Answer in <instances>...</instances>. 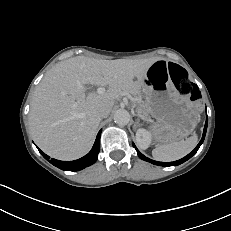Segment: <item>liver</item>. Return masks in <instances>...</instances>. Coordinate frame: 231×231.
<instances>
[{
    "label": "liver",
    "mask_w": 231,
    "mask_h": 231,
    "mask_svg": "<svg viewBox=\"0 0 231 231\" xmlns=\"http://www.w3.org/2000/svg\"><path fill=\"white\" fill-rule=\"evenodd\" d=\"M158 60L161 58L97 60L77 56L56 64L37 86L31 102L29 124L37 146L59 160L87 154L101 121L97 110H111L123 94L144 93L146 71ZM85 84L108 86V90L86 95Z\"/></svg>",
    "instance_id": "1"
}]
</instances>
